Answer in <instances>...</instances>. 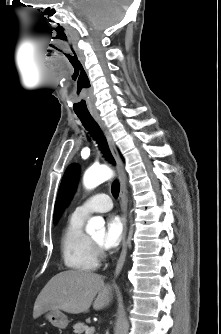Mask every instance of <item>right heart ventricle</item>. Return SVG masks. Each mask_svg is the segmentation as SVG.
I'll return each mask as SVG.
<instances>
[{"label": "right heart ventricle", "instance_id": "right-heart-ventricle-1", "mask_svg": "<svg viewBox=\"0 0 221 334\" xmlns=\"http://www.w3.org/2000/svg\"><path fill=\"white\" fill-rule=\"evenodd\" d=\"M85 218L72 214L63 230L61 251L67 268L77 272L94 271L99 266L98 255L91 239L84 232Z\"/></svg>", "mask_w": 221, "mask_h": 334}]
</instances>
